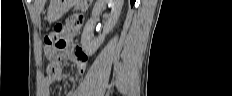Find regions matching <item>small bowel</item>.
I'll return each mask as SVG.
<instances>
[{"instance_id": "1", "label": "small bowel", "mask_w": 232, "mask_h": 96, "mask_svg": "<svg viewBox=\"0 0 232 96\" xmlns=\"http://www.w3.org/2000/svg\"><path fill=\"white\" fill-rule=\"evenodd\" d=\"M68 22L66 25V43H77V38L75 35H82L81 25L82 20H85V11H70V15H68ZM66 57H72L73 60L76 62L77 69L79 72H84L87 62H86V55L81 49H74L67 53ZM62 73L60 69L52 73L49 67L48 73L43 79V86H42V93L44 95H49L50 87L53 83L60 81L62 79ZM69 96H77V92L75 90H71L68 94Z\"/></svg>"}]
</instances>
